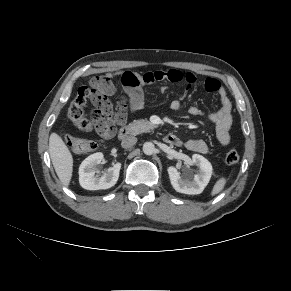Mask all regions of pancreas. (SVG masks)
Masks as SVG:
<instances>
[{
	"label": "pancreas",
	"instance_id": "1",
	"mask_svg": "<svg viewBox=\"0 0 291 291\" xmlns=\"http://www.w3.org/2000/svg\"><path fill=\"white\" fill-rule=\"evenodd\" d=\"M128 130L132 135H138L143 132H147L153 128L155 125L147 120H134L127 126Z\"/></svg>",
	"mask_w": 291,
	"mask_h": 291
}]
</instances>
